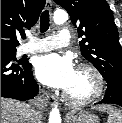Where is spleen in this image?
<instances>
[{
  "label": "spleen",
  "mask_w": 122,
  "mask_h": 123,
  "mask_svg": "<svg viewBox=\"0 0 122 123\" xmlns=\"http://www.w3.org/2000/svg\"><path fill=\"white\" fill-rule=\"evenodd\" d=\"M99 110L106 111L108 113L107 123H122L121 110L110 105H102L99 107Z\"/></svg>",
  "instance_id": "3e777b00"
}]
</instances>
